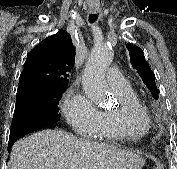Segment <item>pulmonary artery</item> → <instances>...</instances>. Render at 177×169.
I'll use <instances>...</instances> for the list:
<instances>
[{
	"instance_id": "pulmonary-artery-1",
	"label": "pulmonary artery",
	"mask_w": 177,
	"mask_h": 169,
	"mask_svg": "<svg viewBox=\"0 0 177 169\" xmlns=\"http://www.w3.org/2000/svg\"><path fill=\"white\" fill-rule=\"evenodd\" d=\"M107 79L113 91H122L130 86L129 81L116 67H112L107 71Z\"/></svg>"
}]
</instances>
